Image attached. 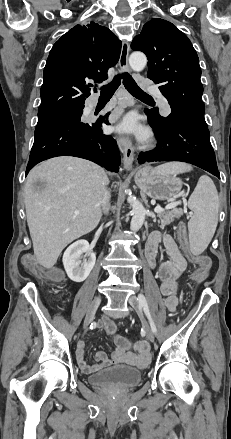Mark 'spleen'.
I'll use <instances>...</instances> for the list:
<instances>
[{"label": "spleen", "instance_id": "spleen-1", "mask_svg": "<svg viewBox=\"0 0 231 439\" xmlns=\"http://www.w3.org/2000/svg\"><path fill=\"white\" fill-rule=\"evenodd\" d=\"M185 163H166L155 168L158 173L177 175L191 171ZM194 212L188 222L190 248L194 255L201 254L209 245L218 223L219 198L216 187L207 175L200 177L188 200Z\"/></svg>", "mask_w": 231, "mask_h": 439}]
</instances>
